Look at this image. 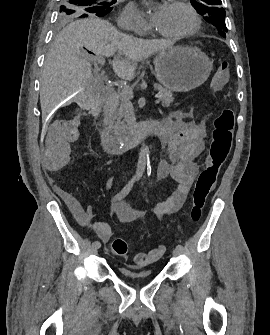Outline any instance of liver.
<instances>
[{
    "mask_svg": "<svg viewBox=\"0 0 270 335\" xmlns=\"http://www.w3.org/2000/svg\"><path fill=\"white\" fill-rule=\"evenodd\" d=\"M82 48L97 56L111 58L115 52L125 56L115 60L113 70L122 80H129L136 70V62L152 54L172 48L166 40H142L121 34L108 20L84 18L63 28L46 56L40 82L42 118H47L69 96L93 92L98 80L93 78L91 64L84 58Z\"/></svg>",
    "mask_w": 270,
    "mask_h": 335,
    "instance_id": "6515ba94",
    "label": "liver"
}]
</instances>
